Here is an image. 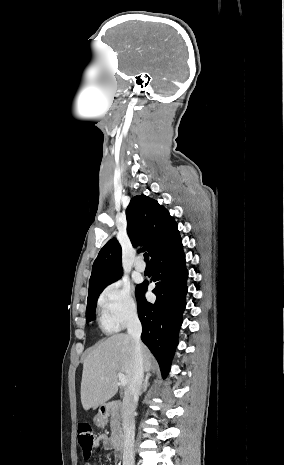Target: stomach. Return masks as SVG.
Returning <instances> with one entry per match:
<instances>
[{
	"label": "stomach",
	"mask_w": 284,
	"mask_h": 465,
	"mask_svg": "<svg viewBox=\"0 0 284 465\" xmlns=\"http://www.w3.org/2000/svg\"><path fill=\"white\" fill-rule=\"evenodd\" d=\"M94 423L95 425H97V427H104V425H106L107 423V419L106 417H104V415H101V413H99V415H96V417H94Z\"/></svg>",
	"instance_id": "stomach-1"
}]
</instances>
